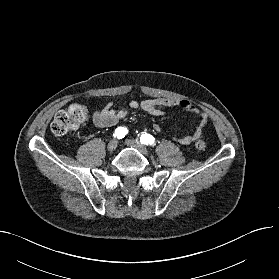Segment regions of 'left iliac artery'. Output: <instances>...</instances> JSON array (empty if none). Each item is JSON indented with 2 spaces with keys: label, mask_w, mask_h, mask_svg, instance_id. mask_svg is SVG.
Returning a JSON list of instances; mask_svg holds the SVG:
<instances>
[{
  "label": "left iliac artery",
  "mask_w": 279,
  "mask_h": 279,
  "mask_svg": "<svg viewBox=\"0 0 279 279\" xmlns=\"http://www.w3.org/2000/svg\"><path fill=\"white\" fill-rule=\"evenodd\" d=\"M140 141L141 143L146 145H151V146L155 145V138L152 135L147 133L141 135Z\"/></svg>",
  "instance_id": "1"
}]
</instances>
